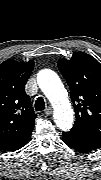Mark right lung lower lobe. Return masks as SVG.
Instances as JSON below:
<instances>
[{"label":"right lung lower lobe","mask_w":101,"mask_h":180,"mask_svg":"<svg viewBox=\"0 0 101 180\" xmlns=\"http://www.w3.org/2000/svg\"><path fill=\"white\" fill-rule=\"evenodd\" d=\"M27 142H28V141H27ZM27 142H26V143H27ZM26 143H25V144H26ZM25 144H24V145H25ZM24 145H22V147H23ZM20 148H21V147H20ZM20 148H19V149H20Z\"/></svg>","instance_id":"obj_1"}]
</instances>
